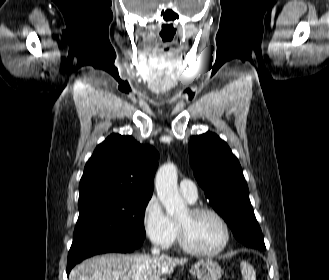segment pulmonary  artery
<instances>
[{"mask_svg":"<svg viewBox=\"0 0 329 280\" xmlns=\"http://www.w3.org/2000/svg\"><path fill=\"white\" fill-rule=\"evenodd\" d=\"M180 193L191 203L195 202L198 197L196 184L188 179H183L179 183Z\"/></svg>","mask_w":329,"mask_h":280,"instance_id":"obj_1","label":"pulmonary artery"}]
</instances>
